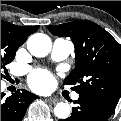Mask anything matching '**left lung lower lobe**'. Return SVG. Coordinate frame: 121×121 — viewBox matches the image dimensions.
Segmentation results:
<instances>
[{"instance_id": "0a47b994", "label": "left lung lower lobe", "mask_w": 121, "mask_h": 121, "mask_svg": "<svg viewBox=\"0 0 121 121\" xmlns=\"http://www.w3.org/2000/svg\"><path fill=\"white\" fill-rule=\"evenodd\" d=\"M74 103H77L78 106L73 108L72 115L67 119L59 121H107L115 110L102 101L88 95L79 94V99Z\"/></svg>"}]
</instances>
